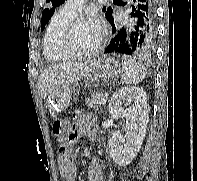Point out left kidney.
<instances>
[{
  "mask_svg": "<svg viewBox=\"0 0 197 181\" xmlns=\"http://www.w3.org/2000/svg\"><path fill=\"white\" fill-rule=\"evenodd\" d=\"M125 102L131 104L128 110L123 108ZM147 106L146 93L138 87H123L110 100L109 112L126 118V135L112 136L108 143L111 158L120 166L130 164L141 148L148 124Z\"/></svg>",
  "mask_w": 197,
  "mask_h": 181,
  "instance_id": "1",
  "label": "left kidney"
}]
</instances>
